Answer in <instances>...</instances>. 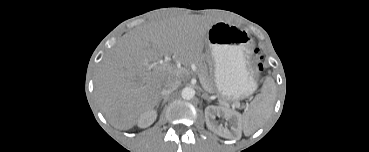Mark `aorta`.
<instances>
[{"label": "aorta", "instance_id": "762f6f07", "mask_svg": "<svg viewBox=\"0 0 369 152\" xmlns=\"http://www.w3.org/2000/svg\"><path fill=\"white\" fill-rule=\"evenodd\" d=\"M181 96L185 100H191L195 96V90L192 87H185L181 91Z\"/></svg>", "mask_w": 369, "mask_h": 152}]
</instances>
